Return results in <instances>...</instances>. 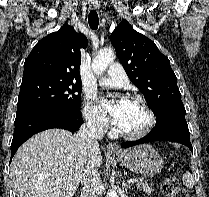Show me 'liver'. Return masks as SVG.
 <instances>
[{
  "label": "liver",
  "instance_id": "1",
  "mask_svg": "<svg viewBox=\"0 0 209 197\" xmlns=\"http://www.w3.org/2000/svg\"><path fill=\"white\" fill-rule=\"evenodd\" d=\"M101 163L99 145L88 149L77 134L49 129L34 135L18 149L11 177L17 197H73L85 167L94 164L98 168Z\"/></svg>",
  "mask_w": 209,
  "mask_h": 197
}]
</instances>
